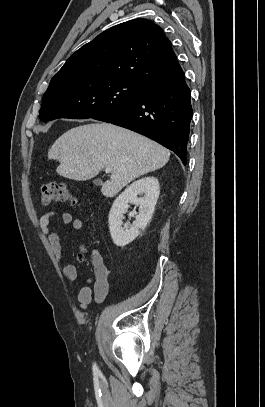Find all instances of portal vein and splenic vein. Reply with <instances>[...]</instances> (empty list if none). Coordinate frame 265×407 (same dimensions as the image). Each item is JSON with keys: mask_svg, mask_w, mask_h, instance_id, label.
Here are the masks:
<instances>
[{"mask_svg": "<svg viewBox=\"0 0 265 407\" xmlns=\"http://www.w3.org/2000/svg\"><path fill=\"white\" fill-rule=\"evenodd\" d=\"M105 172H106V173H110V172H111V168H110V167H106V168H105ZM114 177H115V176H114Z\"/></svg>", "mask_w": 265, "mask_h": 407, "instance_id": "1", "label": "portal vein and splenic vein"}]
</instances>
